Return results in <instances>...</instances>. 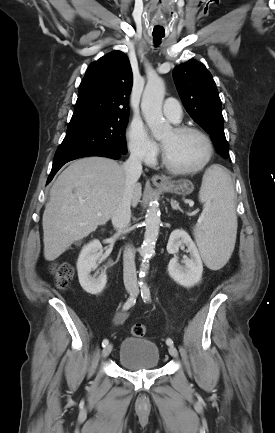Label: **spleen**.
Returning <instances> with one entry per match:
<instances>
[{
    "label": "spleen",
    "instance_id": "spleen-1",
    "mask_svg": "<svg viewBox=\"0 0 275 433\" xmlns=\"http://www.w3.org/2000/svg\"><path fill=\"white\" fill-rule=\"evenodd\" d=\"M234 187L230 175L220 165L209 167L202 178L199 200L204 203L203 224L194 236L205 264L212 270L222 268L235 246L237 216Z\"/></svg>",
    "mask_w": 275,
    "mask_h": 433
}]
</instances>
